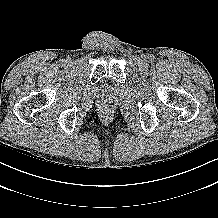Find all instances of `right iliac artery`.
I'll use <instances>...</instances> for the list:
<instances>
[{
	"label": "right iliac artery",
	"instance_id": "obj_1",
	"mask_svg": "<svg viewBox=\"0 0 218 218\" xmlns=\"http://www.w3.org/2000/svg\"><path fill=\"white\" fill-rule=\"evenodd\" d=\"M64 62H65V61H64V60H62V61H61V64L63 65V64H64Z\"/></svg>",
	"mask_w": 218,
	"mask_h": 218
}]
</instances>
